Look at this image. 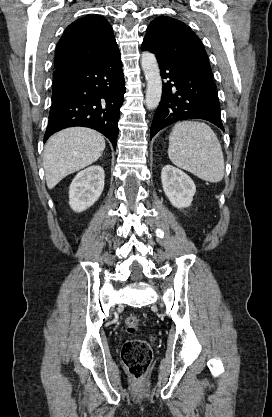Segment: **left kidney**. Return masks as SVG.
Instances as JSON below:
<instances>
[{
    "mask_svg": "<svg viewBox=\"0 0 272 417\" xmlns=\"http://www.w3.org/2000/svg\"><path fill=\"white\" fill-rule=\"evenodd\" d=\"M161 182L165 195L174 207L182 209L191 205L196 186L185 172L165 165L161 171Z\"/></svg>",
    "mask_w": 272,
    "mask_h": 417,
    "instance_id": "1",
    "label": "left kidney"
}]
</instances>
